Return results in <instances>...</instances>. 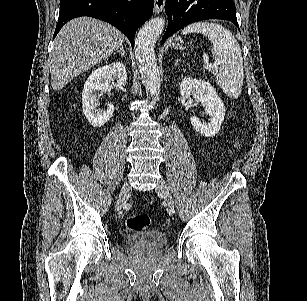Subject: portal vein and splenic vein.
Returning <instances> with one entry per match:
<instances>
[{"label":"portal vein and splenic vein","instance_id":"portal-vein-and-splenic-vein-1","mask_svg":"<svg viewBox=\"0 0 307 301\" xmlns=\"http://www.w3.org/2000/svg\"><path fill=\"white\" fill-rule=\"evenodd\" d=\"M218 62H215V64H211V62H208V60H205L204 66L205 68H217Z\"/></svg>","mask_w":307,"mask_h":301}]
</instances>
